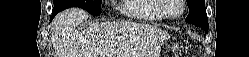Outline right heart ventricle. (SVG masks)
I'll return each mask as SVG.
<instances>
[{
	"instance_id": "obj_1",
	"label": "right heart ventricle",
	"mask_w": 249,
	"mask_h": 57,
	"mask_svg": "<svg viewBox=\"0 0 249 57\" xmlns=\"http://www.w3.org/2000/svg\"><path fill=\"white\" fill-rule=\"evenodd\" d=\"M159 4L160 0H125L122 11L135 20L162 21L165 17Z\"/></svg>"
}]
</instances>
